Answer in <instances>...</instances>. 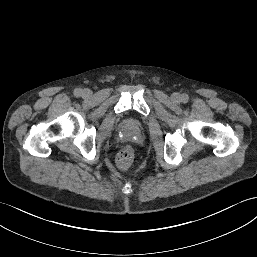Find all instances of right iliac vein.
<instances>
[{
  "label": "right iliac vein",
  "instance_id": "1",
  "mask_svg": "<svg viewBox=\"0 0 257 257\" xmlns=\"http://www.w3.org/2000/svg\"><path fill=\"white\" fill-rule=\"evenodd\" d=\"M91 92L88 89L83 90V96L88 97L90 96Z\"/></svg>",
  "mask_w": 257,
  "mask_h": 257
}]
</instances>
